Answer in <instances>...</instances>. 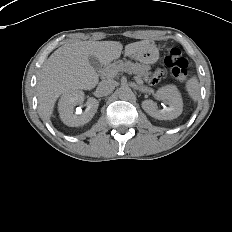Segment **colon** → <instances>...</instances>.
Masks as SVG:
<instances>
[{
    "instance_id": "1",
    "label": "colon",
    "mask_w": 232,
    "mask_h": 232,
    "mask_svg": "<svg viewBox=\"0 0 232 232\" xmlns=\"http://www.w3.org/2000/svg\"><path fill=\"white\" fill-rule=\"evenodd\" d=\"M164 65L173 78L179 81H185L188 78V62L179 49L172 48L168 52L164 58Z\"/></svg>"
}]
</instances>
